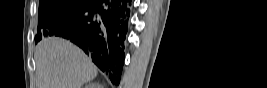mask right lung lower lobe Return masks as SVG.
<instances>
[{"label":"right lung lower lobe","instance_id":"obj_1","mask_svg":"<svg viewBox=\"0 0 267 88\" xmlns=\"http://www.w3.org/2000/svg\"><path fill=\"white\" fill-rule=\"evenodd\" d=\"M131 0H86L67 17L52 22L48 36L69 39L119 84L130 18Z\"/></svg>","mask_w":267,"mask_h":88}]
</instances>
